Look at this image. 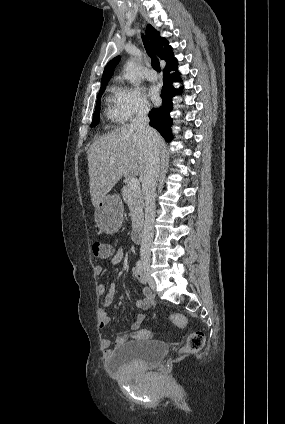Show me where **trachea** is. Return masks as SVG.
Masks as SVG:
<instances>
[{
  "mask_svg": "<svg viewBox=\"0 0 285 424\" xmlns=\"http://www.w3.org/2000/svg\"><path fill=\"white\" fill-rule=\"evenodd\" d=\"M142 40H143V43H144V46H145V49H146L148 55L151 57L152 67L157 72H161L159 60L156 58V56H155V54H154V52H153V50H152V48L150 46L149 41L144 36H142Z\"/></svg>",
  "mask_w": 285,
  "mask_h": 424,
  "instance_id": "trachea-1",
  "label": "trachea"
}]
</instances>
